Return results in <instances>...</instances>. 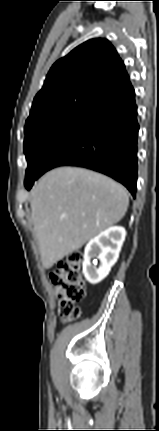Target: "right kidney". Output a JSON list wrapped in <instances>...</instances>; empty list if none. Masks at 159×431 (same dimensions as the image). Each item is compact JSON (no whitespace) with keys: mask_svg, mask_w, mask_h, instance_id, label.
Listing matches in <instances>:
<instances>
[{"mask_svg":"<svg viewBox=\"0 0 159 431\" xmlns=\"http://www.w3.org/2000/svg\"><path fill=\"white\" fill-rule=\"evenodd\" d=\"M125 236L123 227L113 226L88 242L84 251L83 273L89 283L97 284L109 274L119 257ZM95 257L99 260L98 267Z\"/></svg>","mask_w":159,"mask_h":431,"instance_id":"1","label":"right kidney"}]
</instances>
